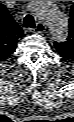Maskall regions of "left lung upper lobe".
Here are the masks:
<instances>
[{"label":"left lung upper lobe","instance_id":"1","mask_svg":"<svg viewBox=\"0 0 74 122\" xmlns=\"http://www.w3.org/2000/svg\"><path fill=\"white\" fill-rule=\"evenodd\" d=\"M70 16L69 34L66 41L61 43L55 42L54 46L61 57L74 60V5L71 7Z\"/></svg>","mask_w":74,"mask_h":122}]
</instances>
